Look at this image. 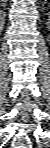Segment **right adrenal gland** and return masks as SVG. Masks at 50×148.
I'll return each mask as SVG.
<instances>
[{
	"instance_id": "obj_1",
	"label": "right adrenal gland",
	"mask_w": 50,
	"mask_h": 148,
	"mask_svg": "<svg viewBox=\"0 0 50 148\" xmlns=\"http://www.w3.org/2000/svg\"><path fill=\"white\" fill-rule=\"evenodd\" d=\"M2 2H3L2 5L6 6V5H5L6 0H3Z\"/></svg>"
}]
</instances>
